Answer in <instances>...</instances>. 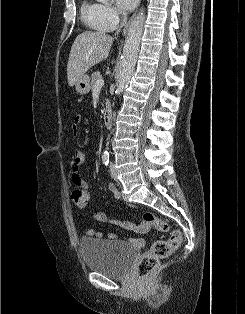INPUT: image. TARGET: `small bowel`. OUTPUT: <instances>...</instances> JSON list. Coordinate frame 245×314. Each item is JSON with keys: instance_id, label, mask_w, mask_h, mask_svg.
Segmentation results:
<instances>
[{"instance_id": "c3829d8e", "label": "small bowel", "mask_w": 245, "mask_h": 314, "mask_svg": "<svg viewBox=\"0 0 245 314\" xmlns=\"http://www.w3.org/2000/svg\"><path fill=\"white\" fill-rule=\"evenodd\" d=\"M80 121H81V117L76 116L75 120H74V124L72 125V131L75 135L78 134V123ZM85 159H86V154L83 151L76 150L74 152V157H73V162H72L71 179L75 185L87 190L89 188V184L86 180H84L81 177V174H80L81 168H82V165H83ZM108 188L111 192L114 193V196L116 199H120V193L115 189L113 184H109ZM93 218L95 221L100 222V223L110 222V223H113L116 225H120L123 228L128 229V230H132L135 232H145V230L141 229V225L134 224V228H132L131 222L120 221V220H109L107 218L106 214L104 212H101V211H96L93 214ZM103 235H104V232H102V231L96 232L95 230L90 229V228H88L84 231V236H96L98 238H101V237H103ZM107 236L110 239H118V236L113 234V233H108ZM126 239L128 242H130L131 244H133L134 246H137V247H142L145 244L144 238H141V237L129 236Z\"/></svg>"}]
</instances>
